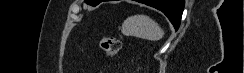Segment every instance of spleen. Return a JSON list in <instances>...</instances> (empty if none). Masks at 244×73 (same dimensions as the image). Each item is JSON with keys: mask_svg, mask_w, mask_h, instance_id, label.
Returning <instances> with one entry per match:
<instances>
[{"mask_svg": "<svg viewBox=\"0 0 244 73\" xmlns=\"http://www.w3.org/2000/svg\"><path fill=\"white\" fill-rule=\"evenodd\" d=\"M121 31L125 36L137 37L150 41H158L164 36L163 29L147 15L128 17L123 22Z\"/></svg>", "mask_w": 244, "mask_h": 73, "instance_id": "3e777b00", "label": "spleen"}]
</instances>
